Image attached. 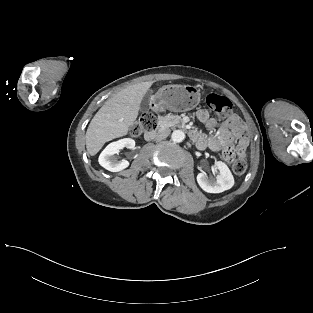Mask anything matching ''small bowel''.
Segmentation results:
<instances>
[{
	"instance_id": "small-bowel-1",
	"label": "small bowel",
	"mask_w": 313,
	"mask_h": 313,
	"mask_svg": "<svg viewBox=\"0 0 313 313\" xmlns=\"http://www.w3.org/2000/svg\"><path fill=\"white\" fill-rule=\"evenodd\" d=\"M197 117L208 129L216 130L214 136L194 131L195 138L193 140L198 148H208L215 152L231 150L234 156L245 157L249 137L246 124L240 117L229 114L223 121H220L212 117L205 109L199 110Z\"/></svg>"
}]
</instances>
